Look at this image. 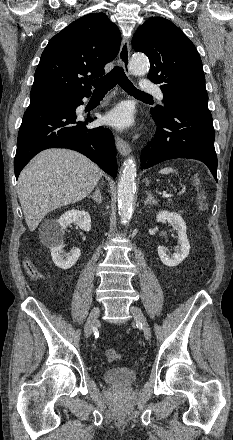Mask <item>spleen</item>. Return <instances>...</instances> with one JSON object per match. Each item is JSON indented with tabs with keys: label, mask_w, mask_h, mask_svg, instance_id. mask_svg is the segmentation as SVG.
Here are the masks:
<instances>
[{
	"label": "spleen",
	"mask_w": 233,
	"mask_h": 440,
	"mask_svg": "<svg viewBox=\"0 0 233 440\" xmlns=\"http://www.w3.org/2000/svg\"><path fill=\"white\" fill-rule=\"evenodd\" d=\"M173 172H176V171L171 167H166V168H163L159 171V173H161V174H169V173H173Z\"/></svg>",
	"instance_id": "spleen-1"
}]
</instances>
